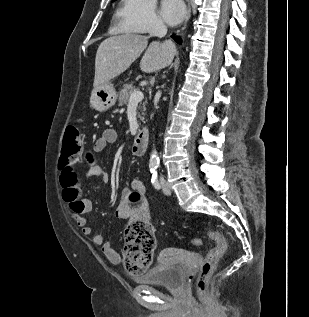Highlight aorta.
<instances>
[{
  "instance_id": "762f6f07",
  "label": "aorta",
  "mask_w": 309,
  "mask_h": 317,
  "mask_svg": "<svg viewBox=\"0 0 309 317\" xmlns=\"http://www.w3.org/2000/svg\"><path fill=\"white\" fill-rule=\"evenodd\" d=\"M149 163L151 166H158L159 165V156H158L155 149H153L151 152Z\"/></svg>"
}]
</instances>
